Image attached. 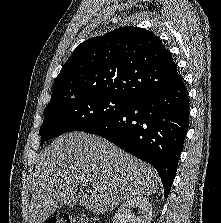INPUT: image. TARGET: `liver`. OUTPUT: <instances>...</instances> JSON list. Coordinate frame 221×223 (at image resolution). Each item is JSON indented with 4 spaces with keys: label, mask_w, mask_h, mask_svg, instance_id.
I'll list each match as a JSON object with an SVG mask.
<instances>
[{
    "label": "liver",
    "mask_w": 221,
    "mask_h": 223,
    "mask_svg": "<svg viewBox=\"0 0 221 223\" xmlns=\"http://www.w3.org/2000/svg\"><path fill=\"white\" fill-rule=\"evenodd\" d=\"M83 182L92 190L83 195L80 205L104 214L127 199L154 194L159 177L149 164L99 136L66 133L37 156L29 223H43L67 204Z\"/></svg>",
    "instance_id": "liver-1"
}]
</instances>
